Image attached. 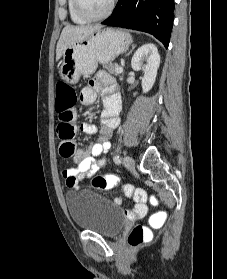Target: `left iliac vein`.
<instances>
[{
    "mask_svg": "<svg viewBox=\"0 0 227 279\" xmlns=\"http://www.w3.org/2000/svg\"><path fill=\"white\" fill-rule=\"evenodd\" d=\"M123 164L128 168V169H133L135 166V162L132 157L129 155L124 156L123 158Z\"/></svg>",
    "mask_w": 227,
    "mask_h": 279,
    "instance_id": "1",
    "label": "left iliac vein"
}]
</instances>
